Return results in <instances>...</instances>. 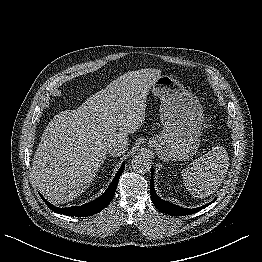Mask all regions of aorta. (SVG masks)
I'll use <instances>...</instances> for the list:
<instances>
[{"label":"aorta","mask_w":262,"mask_h":262,"mask_svg":"<svg viewBox=\"0 0 262 262\" xmlns=\"http://www.w3.org/2000/svg\"><path fill=\"white\" fill-rule=\"evenodd\" d=\"M132 168L137 172L144 173L150 170V160L144 155H136L132 159Z\"/></svg>","instance_id":"obj_1"}]
</instances>
